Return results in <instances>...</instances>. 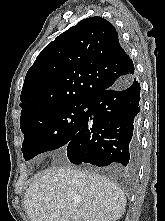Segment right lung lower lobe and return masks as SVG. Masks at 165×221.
<instances>
[{
    "label": "right lung lower lobe",
    "instance_id": "98d812e1",
    "mask_svg": "<svg viewBox=\"0 0 165 221\" xmlns=\"http://www.w3.org/2000/svg\"><path fill=\"white\" fill-rule=\"evenodd\" d=\"M139 101L140 84L134 76L92 97L89 118L67 144L70 162L135 170L140 156Z\"/></svg>",
    "mask_w": 165,
    "mask_h": 221
}]
</instances>
